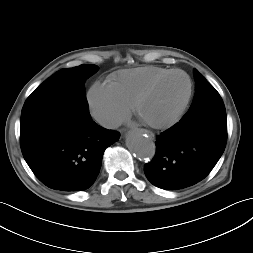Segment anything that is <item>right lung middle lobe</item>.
Here are the masks:
<instances>
[{"mask_svg": "<svg viewBox=\"0 0 253 253\" xmlns=\"http://www.w3.org/2000/svg\"><path fill=\"white\" fill-rule=\"evenodd\" d=\"M97 70L96 65H80L56 72L27 98L22 109L21 121L64 105H74L88 110L84 83Z\"/></svg>", "mask_w": 253, "mask_h": 253, "instance_id": "obj_1", "label": "right lung middle lobe"}]
</instances>
